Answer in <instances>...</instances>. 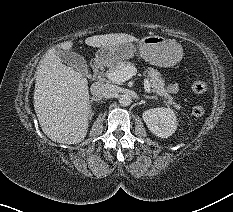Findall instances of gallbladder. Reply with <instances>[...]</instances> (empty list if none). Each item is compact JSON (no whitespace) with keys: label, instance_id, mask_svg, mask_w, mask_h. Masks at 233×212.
I'll list each match as a JSON object with an SVG mask.
<instances>
[{"label":"gallbladder","instance_id":"1","mask_svg":"<svg viewBox=\"0 0 233 212\" xmlns=\"http://www.w3.org/2000/svg\"><path fill=\"white\" fill-rule=\"evenodd\" d=\"M56 53L61 59V61L67 64L68 66L75 68L77 71L83 74L86 72L87 70L86 61L78 53L72 51H63L61 49H58Z\"/></svg>","mask_w":233,"mask_h":212}]
</instances>
